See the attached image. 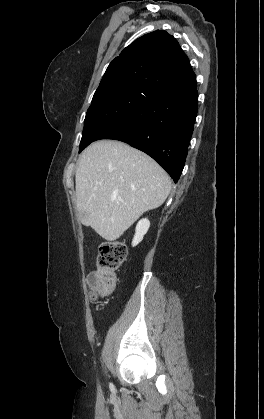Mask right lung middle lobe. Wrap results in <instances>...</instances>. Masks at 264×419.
<instances>
[{
  "label": "right lung middle lobe",
  "instance_id": "right-lung-middle-lobe-1",
  "mask_svg": "<svg viewBox=\"0 0 264 419\" xmlns=\"http://www.w3.org/2000/svg\"><path fill=\"white\" fill-rule=\"evenodd\" d=\"M153 95L148 90L128 84L97 89L86 113L79 152L123 123L143 101Z\"/></svg>",
  "mask_w": 264,
  "mask_h": 419
}]
</instances>
